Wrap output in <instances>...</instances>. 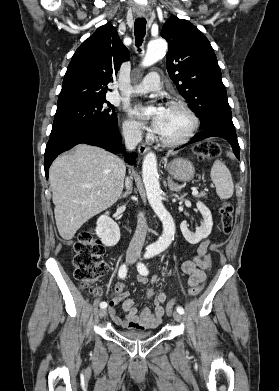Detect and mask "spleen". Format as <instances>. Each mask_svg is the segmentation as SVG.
<instances>
[{
  "instance_id": "1",
  "label": "spleen",
  "mask_w": 279,
  "mask_h": 391,
  "mask_svg": "<svg viewBox=\"0 0 279 391\" xmlns=\"http://www.w3.org/2000/svg\"><path fill=\"white\" fill-rule=\"evenodd\" d=\"M211 179L216 193L221 199H229L234 192L233 180L229 169L220 160H216L211 168Z\"/></svg>"
}]
</instances>
